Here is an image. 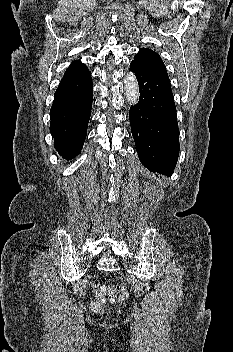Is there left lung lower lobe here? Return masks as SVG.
Here are the masks:
<instances>
[{"label":"left lung lower lobe","instance_id":"0a47b994","mask_svg":"<svg viewBox=\"0 0 233 352\" xmlns=\"http://www.w3.org/2000/svg\"><path fill=\"white\" fill-rule=\"evenodd\" d=\"M139 101L130 108L132 135L141 163L150 171L171 176L179 156V130L170 80L132 61Z\"/></svg>","mask_w":233,"mask_h":352}]
</instances>
